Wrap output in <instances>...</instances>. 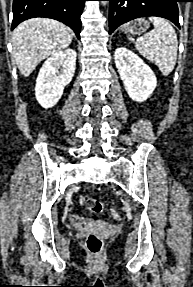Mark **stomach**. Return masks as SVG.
Segmentation results:
<instances>
[{
    "label": "stomach",
    "mask_w": 193,
    "mask_h": 287,
    "mask_svg": "<svg viewBox=\"0 0 193 287\" xmlns=\"http://www.w3.org/2000/svg\"><path fill=\"white\" fill-rule=\"evenodd\" d=\"M149 26L150 24L147 21L140 19L125 25L124 31L126 33H131L132 35L141 34L147 31Z\"/></svg>",
    "instance_id": "0dacf381"
}]
</instances>
